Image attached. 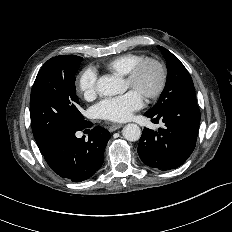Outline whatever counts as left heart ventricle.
<instances>
[{"instance_id":"left-heart-ventricle-1","label":"left heart ventricle","mask_w":232,"mask_h":232,"mask_svg":"<svg viewBox=\"0 0 232 232\" xmlns=\"http://www.w3.org/2000/svg\"><path fill=\"white\" fill-rule=\"evenodd\" d=\"M157 79V70L153 66H147L142 71L138 79L137 85L133 89L143 96L145 93L150 92L155 88L157 84ZM127 85L130 86L128 82Z\"/></svg>"}]
</instances>
